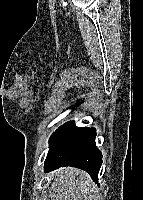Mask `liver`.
I'll list each match as a JSON object with an SVG mask.
<instances>
[{
  "label": "liver",
  "instance_id": "1",
  "mask_svg": "<svg viewBox=\"0 0 143 200\" xmlns=\"http://www.w3.org/2000/svg\"><path fill=\"white\" fill-rule=\"evenodd\" d=\"M49 197L51 200H92L95 185L88 173L73 167H63L54 173Z\"/></svg>",
  "mask_w": 143,
  "mask_h": 200
}]
</instances>
